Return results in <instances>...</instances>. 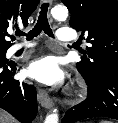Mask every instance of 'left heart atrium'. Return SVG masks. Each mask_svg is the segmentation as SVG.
<instances>
[{
    "mask_svg": "<svg viewBox=\"0 0 118 123\" xmlns=\"http://www.w3.org/2000/svg\"><path fill=\"white\" fill-rule=\"evenodd\" d=\"M27 73L31 78L45 85H59L64 80V72L53 56H45L33 61Z\"/></svg>",
    "mask_w": 118,
    "mask_h": 123,
    "instance_id": "39dd6f15",
    "label": "left heart atrium"
}]
</instances>
